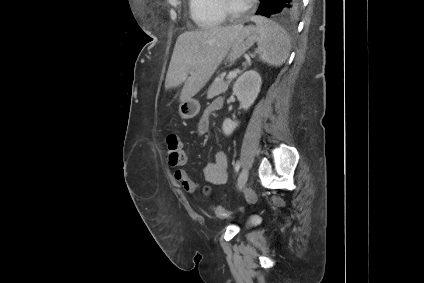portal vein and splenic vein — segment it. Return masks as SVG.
I'll list each match as a JSON object with an SVG mask.
<instances>
[{"mask_svg": "<svg viewBox=\"0 0 424 283\" xmlns=\"http://www.w3.org/2000/svg\"><path fill=\"white\" fill-rule=\"evenodd\" d=\"M236 75H237V72L236 71H232V72H230L228 74L227 79H231V78L235 77Z\"/></svg>", "mask_w": 424, "mask_h": 283, "instance_id": "portal-vein-and-splenic-vein-1", "label": "portal vein and splenic vein"}]
</instances>
